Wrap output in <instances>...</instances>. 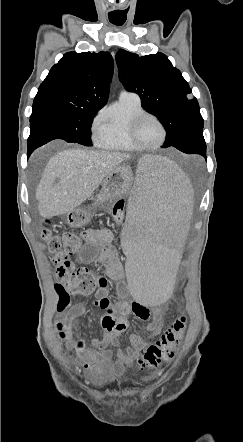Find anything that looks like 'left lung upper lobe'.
Masks as SVG:
<instances>
[{"label": "left lung upper lobe", "instance_id": "obj_1", "mask_svg": "<svg viewBox=\"0 0 243 442\" xmlns=\"http://www.w3.org/2000/svg\"><path fill=\"white\" fill-rule=\"evenodd\" d=\"M119 78L128 91L137 93L142 107L154 114L166 130L163 148L175 146L203 130L197 99L181 72L163 53L139 57L123 49L116 54Z\"/></svg>", "mask_w": 243, "mask_h": 442}]
</instances>
